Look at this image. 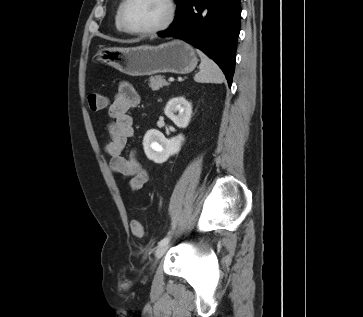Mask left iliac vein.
Listing matches in <instances>:
<instances>
[{"instance_id": "obj_1", "label": "left iliac vein", "mask_w": 363, "mask_h": 317, "mask_svg": "<svg viewBox=\"0 0 363 317\" xmlns=\"http://www.w3.org/2000/svg\"><path fill=\"white\" fill-rule=\"evenodd\" d=\"M169 247H170V243L159 246L155 251L156 260H159L166 253V251L168 250Z\"/></svg>"}]
</instances>
